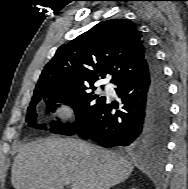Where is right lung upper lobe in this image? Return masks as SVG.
<instances>
[{"label": "right lung upper lobe", "instance_id": "obj_1", "mask_svg": "<svg viewBox=\"0 0 188 189\" xmlns=\"http://www.w3.org/2000/svg\"><path fill=\"white\" fill-rule=\"evenodd\" d=\"M149 51L142 31L134 23L125 19L100 22L58 48L42 71L34 94L94 87L107 74L113 76L111 83L118 85L148 71Z\"/></svg>", "mask_w": 188, "mask_h": 189}]
</instances>
